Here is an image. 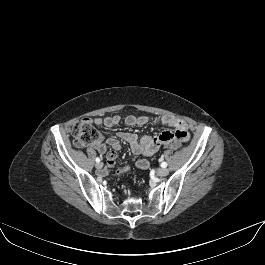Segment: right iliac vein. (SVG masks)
I'll list each match as a JSON object with an SVG mask.
<instances>
[{
	"label": "right iliac vein",
	"instance_id": "63e3f726",
	"mask_svg": "<svg viewBox=\"0 0 265 265\" xmlns=\"http://www.w3.org/2000/svg\"><path fill=\"white\" fill-rule=\"evenodd\" d=\"M102 167H103V163L102 162L96 163V168L97 169H101Z\"/></svg>",
	"mask_w": 265,
	"mask_h": 265
}]
</instances>
